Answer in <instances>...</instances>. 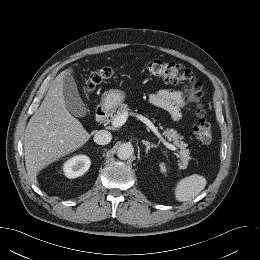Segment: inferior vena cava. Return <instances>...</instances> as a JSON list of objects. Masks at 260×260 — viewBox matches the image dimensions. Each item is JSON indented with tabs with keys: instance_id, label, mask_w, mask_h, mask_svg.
I'll return each mask as SVG.
<instances>
[{
	"instance_id": "inferior-vena-cava-1",
	"label": "inferior vena cava",
	"mask_w": 260,
	"mask_h": 260,
	"mask_svg": "<svg viewBox=\"0 0 260 260\" xmlns=\"http://www.w3.org/2000/svg\"><path fill=\"white\" fill-rule=\"evenodd\" d=\"M111 139V133L106 130H99L94 135V142L99 145H106L111 141Z\"/></svg>"
}]
</instances>
